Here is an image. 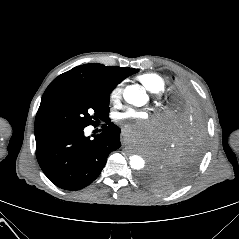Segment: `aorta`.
Wrapping results in <instances>:
<instances>
[{
  "instance_id": "aorta-1",
  "label": "aorta",
  "mask_w": 239,
  "mask_h": 239,
  "mask_svg": "<svg viewBox=\"0 0 239 239\" xmlns=\"http://www.w3.org/2000/svg\"><path fill=\"white\" fill-rule=\"evenodd\" d=\"M124 99L127 103L135 106H143L148 101V96L145 90L138 85H129L125 88L123 93ZM130 166L132 169L140 170L145 166V160L139 155H132L130 157Z\"/></svg>"
}]
</instances>
